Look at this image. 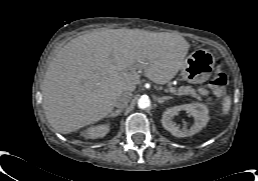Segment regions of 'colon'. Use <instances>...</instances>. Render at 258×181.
<instances>
[{
    "mask_svg": "<svg viewBox=\"0 0 258 181\" xmlns=\"http://www.w3.org/2000/svg\"><path fill=\"white\" fill-rule=\"evenodd\" d=\"M226 84H227V76L218 67L210 82L211 89L218 96L224 97L226 94V90H225Z\"/></svg>",
    "mask_w": 258,
    "mask_h": 181,
    "instance_id": "1",
    "label": "colon"
}]
</instances>
